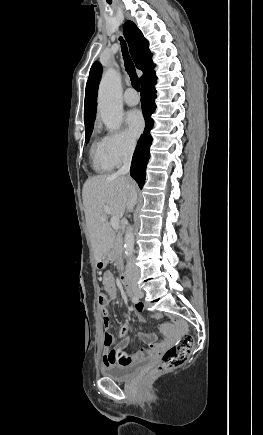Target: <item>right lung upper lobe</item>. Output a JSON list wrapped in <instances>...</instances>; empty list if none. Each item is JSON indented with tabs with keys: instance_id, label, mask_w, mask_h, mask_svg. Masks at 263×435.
Instances as JSON below:
<instances>
[{
	"instance_id": "obj_1",
	"label": "right lung upper lobe",
	"mask_w": 263,
	"mask_h": 435,
	"mask_svg": "<svg viewBox=\"0 0 263 435\" xmlns=\"http://www.w3.org/2000/svg\"><path fill=\"white\" fill-rule=\"evenodd\" d=\"M124 36L129 44L131 56L136 67L143 71L140 77L142 83L146 78L154 74L155 64L152 61V53L149 50V42L144 38L142 32L134 22L127 21L123 28ZM102 67L99 62H95L91 67L89 78L86 84L85 104H84V123L85 131L92 129L96 117L97 92L101 79Z\"/></svg>"
}]
</instances>
